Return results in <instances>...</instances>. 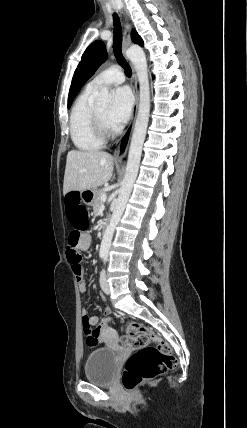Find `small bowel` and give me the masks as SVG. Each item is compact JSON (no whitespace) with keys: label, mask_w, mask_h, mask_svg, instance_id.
<instances>
[{"label":"small bowel","mask_w":247,"mask_h":428,"mask_svg":"<svg viewBox=\"0 0 247 428\" xmlns=\"http://www.w3.org/2000/svg\"><path fill=\"white\" fill-rule=\"evenodd\" d=\"M91 242H92V238L89 234L81 235L79 242L77 244L78 252L87 251L91 246ZM67 257H68V261L71 264L72 270H73L74 274L76 275L77 282H78V289L81 293H84L87 289V283H86L84 276H83V270H82V267L80 265V261L72 255V253L69 251V249L67 251ZM85 318L88 319L89 324L91 326L100 324L99 318L97 316H88L87 310L82 309V320ZM102 337L106 343L111 341L110 337L106 334V332L102 333Z\"/></svg>","instance_id":"c3829d8e"}]
</instances>
